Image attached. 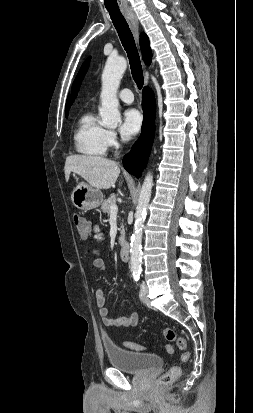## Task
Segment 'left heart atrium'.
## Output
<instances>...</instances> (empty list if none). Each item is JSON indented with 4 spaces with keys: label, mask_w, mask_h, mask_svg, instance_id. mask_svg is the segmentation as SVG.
Returning a JSON list of instances; mask_svg holds the SVG:
<instances>
[{
    "label": "left heart atrium",
    "mask_w": 253,
    "mask_h": 413,
    "mask_svg": "<svg viewBox=\"0 0 253 413\" xmlns=\"http://www.w3.org/2000/svg\"><path fill=\"white\" fill-rule=\"evenodd\" d=\"M141 126L142 116L138 110L130 108L124 111L119 127L120 134L124 139L133 138L140 131Z\"/></svg>",
    "instance_id": "left-heart-atrium-1"
}]
</instances>
